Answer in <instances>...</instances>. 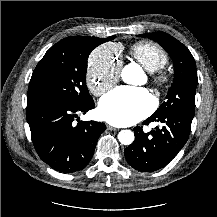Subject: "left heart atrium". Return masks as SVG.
Wrapping results in <instances>:
<instances>
[{
  "mask_svg": "<svg viewBox=\"0 0 217 217\" xmlns=\"http://www.w3.org/2000/svg\"><path fill=\"white\" fill-rule=\"evenodd\" d=\"M152 107L153 98L148 90L121 86L102 97L99 114L108 123L125 126L144 118Z\"/></svg>",
  "mask_w": 217,
  "mask_h": 217,
  "instance_id": "39dd6f15",
  "label": "left heart atrium"
}]
</instances>
